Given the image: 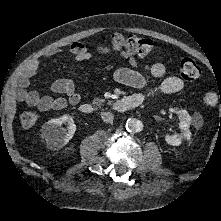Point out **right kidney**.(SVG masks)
<instances>
[{"label": "right kidney", "instance_id": "obj_1", "mask_svg": "<svg viewBox=\"0 0 221 221\" xmlns=\"http://www.w3.org/2000/svg\"><path fill=\"white\" fill-rule=\"evenodd\" d=\"M63 123H68V132L62 128ZM76 125L70 115L51 119L42 126V136L51 149H59L66 145L73 137Z\"/></svg>", "mask_w": 221, "mask_h": 221}]
</instances>
